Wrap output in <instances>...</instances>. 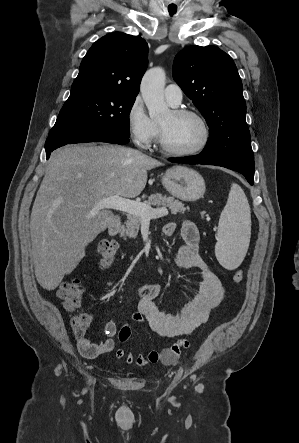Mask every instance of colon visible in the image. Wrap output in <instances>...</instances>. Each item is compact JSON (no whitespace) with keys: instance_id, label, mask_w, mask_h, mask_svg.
I'll list each match as a JSON object with an SVG mask.
<instances>
[{"instance_id":"1","label":"colon","mask_w":299,"mask_h":443,"mask_svg":"<svg viewBox=\"0 0 299 443\" xmlns=\"http://www.w3.org/2000/svg\"><path fill=\"white\" fill-rule=\"evenodd\" d=\"M117 244L113 240H102L97 244L96 255L99 265L102 269L111 267L116 259ZM244 273L242 270H236L233 274V280L239 283L243 280ZM84 285L82 280L74 278L61 283L57 290V297L62 306L67 311L77 310L82 302ZM133 316V312L129 314V319ZM92 322L89 314H79L72 318L71 326L77 336L84 335ZM164 359L170 361L172 359L169 351L164 354Z\"/></svg>"}]
</instances>
